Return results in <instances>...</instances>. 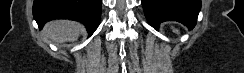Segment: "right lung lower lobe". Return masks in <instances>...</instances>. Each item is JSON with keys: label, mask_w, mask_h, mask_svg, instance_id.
Segmentation results:
<instances>
[{"label": "right lung lower lobe", "mask_w": 244, "mask_h": 73, "mask_svg": "<svg viewBox=\"0 0 244 73\" xmlns=\"http://www.w3.org/2000/svg\"><path fill=\"white\" fill-rule=\"evenodd\" d=\"M102 0H34L33 16L40 29L53 19H70L83 23L89 35L97 29Z\"/></svg>", "instance_id": "obj_1"}]
</instances>
